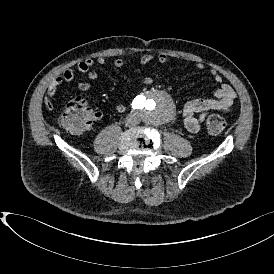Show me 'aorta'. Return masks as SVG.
Instances as JSON below:
<instances>
[{
    "label": "aorta",
    "instance_id": "obj_1",
    "mask_svg": "<svg viewBox=\"0 0 274 274\" xmlns=\"http://www.w3.org/2000/svg\"><path fill=\"white\" fill-rule=\"evenodd\" d=\"M144 101L150 102V107L144 114L145 120L148 123L162 124L169 121L175 115V104L170 95L163 90L150 89L145 96H141V103H144Z\"/></svg>",
    "mask_w": 274,
    "mask_h": 274
}]
</instances>
